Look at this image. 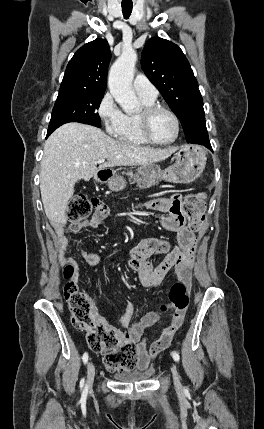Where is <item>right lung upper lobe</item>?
<instances>
[{
  "mask_svg": "<svg viewBox=\"0 0 264 429\" xmlns=\"http://www.w3.org/2000/svg\"><path fill=\"white\" fill-rule=\"evenodd\" d=\"M110 59L106 40L98 38L85 44L69 61L59 92L104 93Z\"/></svg>",
  "mask_w": 264,
  "mask_h": 429,
  "instance_id": "obj_1",
  "label": "right lung upper lobe"
}]
</instances>
